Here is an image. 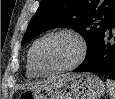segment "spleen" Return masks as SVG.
Wrapping results in <instances>:
<instances>
[{
    "instance_id": "obj_1",
    "label": "spleen",
    "mask_w": 115,
    "mask_h": 99,
    "mask_svg": "<svg viewBox=\"0 0 115 99\" xmlns=\"http://www.w3.org/2000/svg\"><path fill=\"white\" fill-rule=\"evenodd\" d=\"M106 85L109 91V95L111 99H115V81L107 79L106 80Z\"/></svg>"
}]
</instances>
